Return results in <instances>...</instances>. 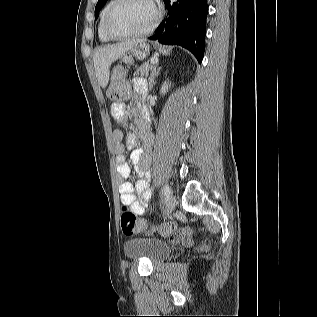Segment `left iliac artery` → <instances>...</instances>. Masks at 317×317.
Instances as JSON below:
<instances>
[{
    "label": "left iliac artery",
    "instance_id": "left-iliac-artery-1",
    "mask_svg": "<svg viewBox=\"0 0 317 317\" xmlns=\"http://www.w3.org/2000/svg\"><path fill=\"white\" fill-rule=\"evenodd\" d=\"M162 192L163 197H168L171 194V189L168 185H164Z\"/></svg>",
    "mask_w": 317,
    "mask_h": 317
}]
</instances>
